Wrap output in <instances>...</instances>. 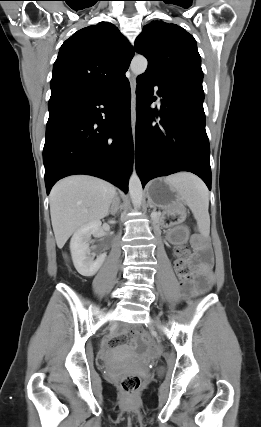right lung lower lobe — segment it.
I'll use <instances>...</instances> for the list:
<instances>
[{"label": "right lung lower lobe", "mask_w": 261, "mask_h": 427, "mask_svg": "<svg viewBox=\"0 0 261 427\" xmlns=\"http://www.w3.org/2000/svg\"><path fill=\"white\" fill-rule=\"evenodd\" d=\"M130 101L125 78L97 97L49 110L43 149L47 194L72 174L93 175L128 192L134 155Z\"/></svg>", "instance_id": "obj_1"}]
</instances>
